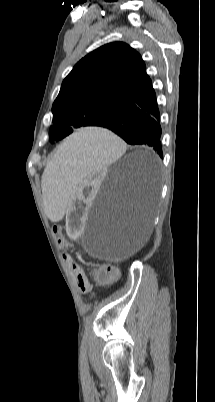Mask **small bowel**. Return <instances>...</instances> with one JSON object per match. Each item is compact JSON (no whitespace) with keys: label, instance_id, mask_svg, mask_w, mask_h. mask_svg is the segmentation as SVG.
Segmentation results:
<instances>
[{"label":"small bowel","instance_id":"obj_1","mask_svg":"<svg viewBox=\"0 0 215 402\" xmlns=\"http://www.w3.org/2000/svg\"><path fill=\"white\" fill-rule=\"evenodd\" d=\"M77 283L83 292H88L91 288V284L84 272L82 274H77Z\"/></svg>","mask_w":215,"mask_h":402}]
</instances>
